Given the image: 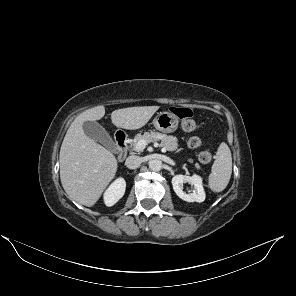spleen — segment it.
Listing matches in <instances>:
<instances>
[{
  "label": "spleen",
  "instance_id": "obj_1",
  "mask_svg": "<svg viewBox=\"0 0 296 296\" xmlns=\"http://www.w3.org/2000/svg\"><path fill=\"white\" fill-rule=\"evenodd\" d=\"M232 174V156L228 145L222 142L216 152L215 161L211 168L208 184L212 191H223Z\"/></svg>",
  "mask_w": 296,
  "mask_h": 296
}]
</instances>
